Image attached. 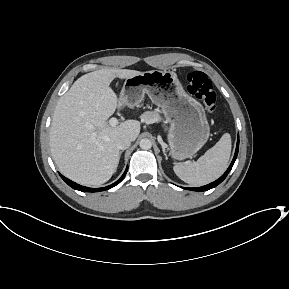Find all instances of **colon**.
I'll return each instance as SVG.
<instances>
[{
  "label": "colon",
  "mask_w": 289,
  "mask_h": 289,
  "mask_svg": "<svg viewBox=\"0 0 289 289\" xmlns=\"http://www.w3.org/2000/svg\"><path fill=\"white\" fill-rule=\"evenodd\" d=\"M186 90L191 95L201 99L208 113L216 108L217 94L213 84L206 74L200 71L190 72L186 77Z\"/></svg>",
  "instance_id": "colon-1"
}]
</instances>
